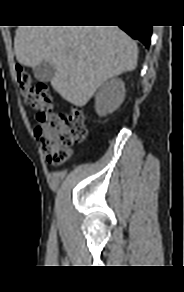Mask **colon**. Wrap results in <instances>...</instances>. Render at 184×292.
<instances>
[{
	"label": "colon",
	"mask_w": 184,
	"mask_h": 292,
	"mask_svg": "<svg viewBox=\"0 0 184 292\" xmlns=\"http://www.w3.org/2000/svg\"><path fill=\"white\" fill-rule=\"evenodd\" d=\"M16 77L24 100L38 111L34 132L46 160L55 165L65 162L73 144L82 142L87 136L82 110L74 108L69 113L56 114L46 84L34 83L21 66L16 68Z\"/></svg>",
	"instance_id": "obj_1"
}]
</instances>
